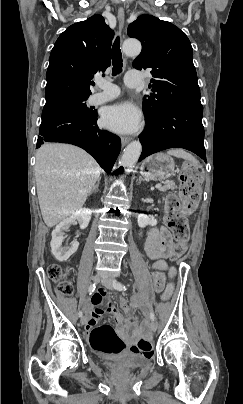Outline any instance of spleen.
Returning a JSON list of instances; mask_svg holds the SVG:
<instances>
[{"mask_svg": "<svg viewBox=\"0 0 243 404\" xmlns=\"http://www.w3.org/2000/svg\"><path fill=\"white\" fill-rule=\"evenodd\" d=\"M167 154H169V156H176V158H183V160H189V162H193V164H196L195 158H193L191 154H187V152L181 150V148H176V150H169Z\"/></svg>", "mask_w": 243, "mask_h": 404, "instance_id": "spleen-1", "label": "spleen"}]
</instances>
